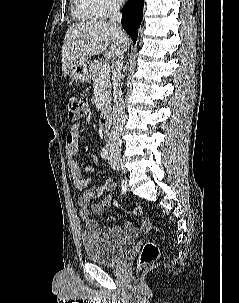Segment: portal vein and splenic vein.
<instances>
[{
    "instance_id": "obj_1",
    "label": "portal vein and splenic vein",
    "mask_w": 239,
    "mask_h": 303,
    "mask_svg": "<svg viewBox=\"0 0 239 303\" xmlns=\"http://www.w3.org/2000/svg\"><path fill=\"white\" fill-rule=\"evenodd\" d=\"M110 73V66L108 64H104L99 72V80L104 79Z\"/></svg>"
}]
</instances>
